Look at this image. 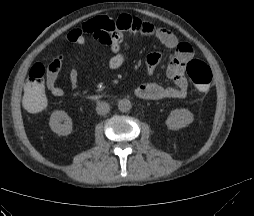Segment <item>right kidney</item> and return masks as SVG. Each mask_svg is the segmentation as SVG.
I'll use <instances>...</instances> for the list:
<instances>
[{
  "label": "right kidney",
  "instance_id": "1",
  "mask_svg": "<svg viewBox=\"0 0 254 216\" xmlns=\"http://www.w3.org/2000/svg\"><path fill=\"white\" fill-rule=\"evenodd\" d=\"M64 120V123L61 122ZM49 126L58 135H69L72 132V119L62 110L54 111L50 116Z\"/></svg>",
  "mask_w": 254,
  "mask_h": 216
}]
</instances>
